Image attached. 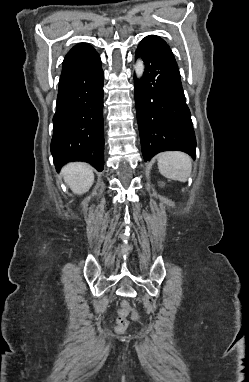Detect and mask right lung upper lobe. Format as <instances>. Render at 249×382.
Instances as JSON below:
<instances>
[{
  "label": "right lung upper lobe",
  "mask_w": 249,
  "mask_h": 382,
  "mask_svg": "<svg viewBox=\"0 0 249 382\" xmlns=\"http://www.w3.org/2000/svg\"><path fill=\"white\" fill-rule=\"evenodd\" d=\"M96 54L95 49L88 44L80 43L75 45L64 58L59 83L68 79L89 64Z\"/></svg>",
  "instance_id": "obj_1"
}]
</instances>
